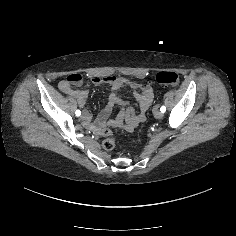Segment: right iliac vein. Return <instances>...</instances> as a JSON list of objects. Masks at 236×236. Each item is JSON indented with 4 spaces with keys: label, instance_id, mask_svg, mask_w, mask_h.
Listing matches in <instances>:
<instances>
[{
    "label": "right iliac vein",
    "instance_id": "63e3f726",
    "mask_svg": "<svg viewBox=\"0 0 236 236\" xmlns=\"http://www.w3.org/2000/svg\"><path fill=\"white\" fill-rule=\"evenodd\" d=\"M86 116H87V114L84 113V114L82 115V118L84 119V118H86Z\"/></svg>",
    "mask_w": 236,
    "mask_h": 236
}]
</instances>
